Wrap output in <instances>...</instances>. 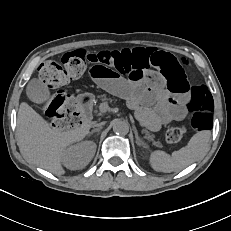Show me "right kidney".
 <instances>
[{"label": "right kidney", "mask_w": 231, "mask_h": 231, "mask_svg": "<svg viewBox=\"0 0 231 231\" xmlns=\"http://www.w3.org/2000/svg\"><path fill=\"white\" fill-rule=\"evenodd\" d=\"M96 144L92 141H83L65 150L62 156L63 165L70 170L84 168L94 157Z\"/></svg>", "instance_id": "obj_1"}]
</instances>
